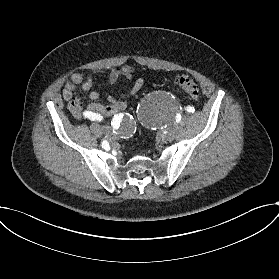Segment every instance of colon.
I'll return each instance as SVG.
<instances>
[{"label": "colon", "instance_id": "colon-1", "mask_svg": "<svg viewBox=\"0 0 279 279\" xmlns=\"http://www.w3.org/2000/svg\"><path fill=\"white\" fill-rule=\"evenodd\" d=\"M173 84L177 86L184 93L192 98H198L199 96V86L198 84L186 76H177L172 80Z\"/></svg>", "mask_w": 279, "mask_h": 279}]
</instances>
